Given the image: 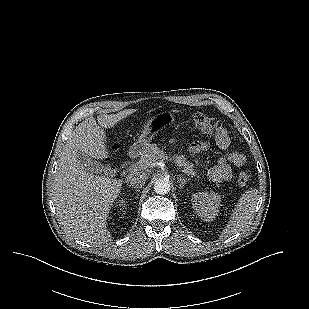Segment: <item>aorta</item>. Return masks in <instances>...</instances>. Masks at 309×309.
I'll list each match as a JSON object with an SVG mask.
<instances>
[{"mask_svg": "<svg viewBox=\"0 0 309 309\" xmlns=\"http://www.w3.org/2000/svg\"><path fill=\"white\" fill-rule=\"evenodd\" d=\"M154 191L160 195L167 194L170 191L169 181L165 179L157 180L154 184Z\"/></svg>", "mask_w": 309, "mask_h": 309, "instance_id": "obj_1", "label": "aorta"}]
</instances>
